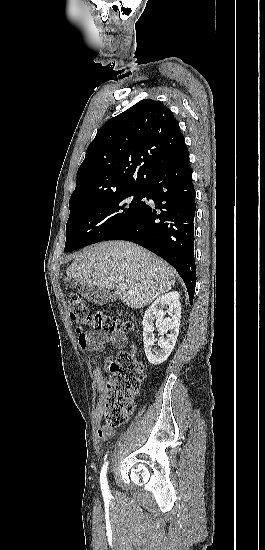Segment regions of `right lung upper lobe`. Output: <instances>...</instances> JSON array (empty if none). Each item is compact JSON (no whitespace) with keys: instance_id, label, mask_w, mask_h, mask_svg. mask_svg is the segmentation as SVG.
Listing matches in <instances>:
<instances>
[{"instance_id":"right-lung-upper-lobe-1","label":"right lung upper lobe","mask_w":265,"mask_h":550,"mask_svg":"<svg viewBox=\"0 0 265 550\" xmlns=\"http://www.w3.org/2000/svg\"><path fill=\"white\" fill-rule=\"evenodd\" d=\"M186 149L173 113L160 101L141 100L98 130L77 171L70 200L147 189Z\"/></svg>"}]
</instances>
